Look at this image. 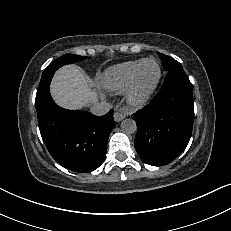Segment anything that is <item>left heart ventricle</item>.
Segmentation results:
<instances>
[{
	"label": "left heart ventricle",
	"instance_id": "b2bd125f",
	"mask_svg": "<svg viewBox=\"0 0 231 231\" xmlns=\"http://www.w3.org/2000/svg\"><path fill=\"white\" fill-rule=\"evenodd\" d=\"M158 76V68L155 63L147 62L139 70L136 82L135 92L138 96L143 95L154 84Z\"/></svg>",
	"mask_w": 231,
	"mask_h": 231
}]
</instances>
